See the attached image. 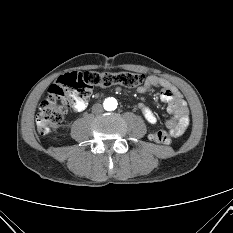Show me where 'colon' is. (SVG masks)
<instances>
[{"label": "colon", "mask_w": 233, "mask_h": 233, "mask_svg": "<svg viewBox=\"0 0 233 233\" xmlns=\"http://www.w3.org/2000/svg\"><path fill=\"white\" fill-rule=\"evenodd\" d=\"M146 77L133 72H95L67 73L61 76L49 88L36 114V126L40 134H48L57 127L67 111L78 102L86 101L95 87L121 85L135 88L142 86ZM157 144L168 145L172 138L166 131H155L149 135Z\"/></svg>", "instance_id": "obj_1"}]
</instances>
